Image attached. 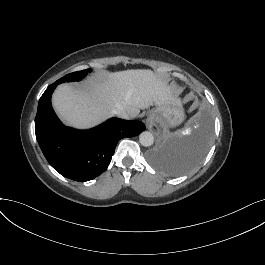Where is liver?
Segmentation results:
<instances>
[{
  "label": "liver",
  "instance_id": "1",
  "mask_svg": "<svg viewBox=\"0 0 265 265\" xmlns=\"http://www.w3.org/2000/svg\"><path fill=\"white\" fill-rule=\"evenodd\" d=\"M90 83L93 91L89 93L67 84L60 85L54 93V108L69 125H93L119 107L125 108L130 118L137 116L140 109L152 106L181 108L180 102L172 100L164 82L151 71L108 72L101 83Z\"/></svg>",
  "mask_w": 265,
  "mask_h": 265
}]
</instances>
